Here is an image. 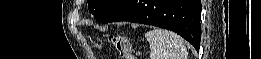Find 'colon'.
Instances as JSON below:
<instances>
[{
	"label": "colon",
	"mask_w": 261,
	"mask_h": 59,
	"mask_svg": "<svg viewBox=\"0 0 261 59\" xmlns=\"http://www.w3.org/2000/svg\"><path fill=\"white\" fill-rule=\"evenodd\" d=\"M109 40L123 58H130V56L127 55L130 46L128 41L124 37L111 36Z\"/></svg>",
	"instance_id": "obj_1"
}]
</instances>
